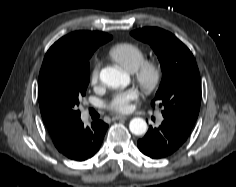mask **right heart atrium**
<instances>
[{"instance_id":"obj_1","label":"right heart atrium","mask_w":236,"mask_h":187,"mask_svg":"<svg viewBox=\"0 0 236 187\" xmlns=\"http://www.w3.org/2000/svg\"><path fill=\"white\" fill-rule=\"evenodd\" d=\"M99 75H100V63L96 62L92 66L89 74V82L92 86H95L99 82Z\"/></svg>"}]
</instances>
